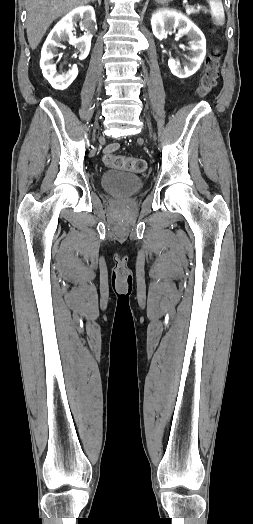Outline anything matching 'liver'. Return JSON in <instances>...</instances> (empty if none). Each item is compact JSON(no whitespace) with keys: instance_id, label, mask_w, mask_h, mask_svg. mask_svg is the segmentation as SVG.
I'll return each instance as SVG.
<instances>
[{"instance_id":"obj_1","label":"liver","mask_w":253,"mask_h":524,"mask_svg":"<svg viewBox=\"0 0 253 524\" xmlns=\"http://www.w3.org/2000/svg\"><path fill=\"white\" fill-rule=\"evenodd\" d=\"M93 0H27V38L31 49H35L50 24L71 11Z\"/></svg>"}]
</instances>
